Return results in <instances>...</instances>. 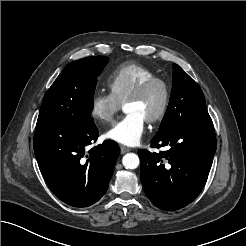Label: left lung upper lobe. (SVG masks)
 Returning a JSON list of instances; mask_svg holds the SVG:
<instances>
[{
  "label": "left lung upper lobe",
  "mask_w": 246,
  "mask_h": 246,
  "mask_svg": "<svg viewBox=\"0 0 246 246\" xmlns=\"http://www.w3.org/2000/svg\"><path fill=\"white\" fill-rule=\"evenodd\" d=\"M172 92L167 111L155 136L171 130L176 124L210 117L200 86L177 65H173Z\"/></svg>",
  "instance_id": "left-lung-upper-lobe-1"
}]
</instances>
